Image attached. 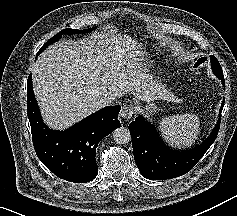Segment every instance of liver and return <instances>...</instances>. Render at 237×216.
Here are the masks:
<instances>
[{
	"mask_svg": "<svg viewBox=\"0 0 237 216\" xmlns=\"http://www.w3.org/2000/svg\"><path fill=\"white\" fill-rule=\"evenodd\" d=\"M32 75L43 120L57 130L102 108L100 98L108 91L119 98L131 93L148 102L159 94L141 66L121 65L117 44L107 35L58 41L41 54Z\"/></svg>",
	"mask_w": 237,
	"mask_h": 216,
	"instance_id": "obj_1",
	"label": "liver"
}]
</instances>
